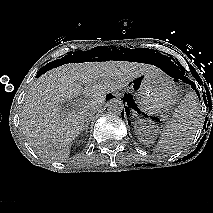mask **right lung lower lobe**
I'll use <instances>...</instances> for the list:
<instances>
[{
  "label": "right lung lower lobe",
  "mask_w": 213,
  "mask_h": 213,
  "mask_svg": "<svg viewBox=\"0 0 213 213\" xmlns=\"http://www.w3.org/2000/svg\"><path fill=\"white\" fill-rule=\"evenodd\" d=\"M55 62V61H54ZM46 67V66H45ZM45 67L41 68L40 71L38 72V75L37 76H40L43 72H44V69Z\"/></svg>",
  "instance_id": "1"
}]
</instances>
